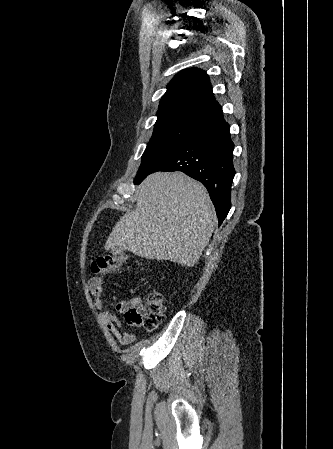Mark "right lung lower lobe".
<instances>
[{
    "label": "right lung lower lobe",
    "mask_w": 333,
    "mask_h": 449,
    "mask_svg": "<svg viewBox=\"0 0 333 449\" xmlns=\"http://www.w3.org/2000/svg\"><path fill=\"white\" fill-rule=\"evenodd\" d=\"M229 130L224 119L212 124L180 145L145 176L135 179L134 183L140 184L157 171H182L207 188L220 225L231 207V185L235 175L234 144Z\"/></svg>",
    "instance_id": "1"
}]
</instances>
